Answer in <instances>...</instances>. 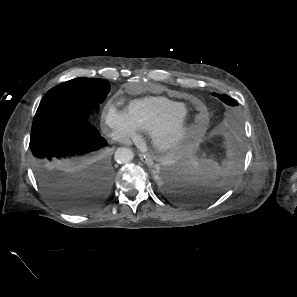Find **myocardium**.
<instances>
[{"label":"myocardium","instance_id":"1","mask_svg":"<svg viewBox=\"0 0 297 297\" xmlns=\"http://www.w3.org/2000/svg\"><path fill=\"white\" fill-rule=\"evenodd\" d=\"M195 124L196 121L188 111L162 120L148 131L150 142L157 153L170 154L186 142Z\"/></svg>","mask_w":297,"mask_h":297}]
</instances>
